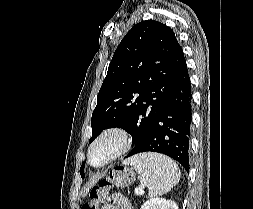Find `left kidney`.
Instances as JSON below:
<instances>
[{"label":"left kidney","instance_id":"5707ae66","mask_svg":"<svg viewBox=\"0 0 253 209\" xmlns=\"http://www.w3.org/2000/svg\"><path fill=\"white\" fill-rule=\"evenodd\" d=\"M141 209H178V206L172 200L151 198L141 206Z\"/></svg>","mask_w":253,"mask_h":209}]
</instances>
